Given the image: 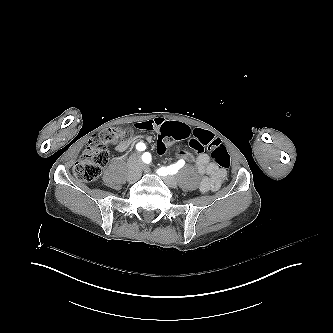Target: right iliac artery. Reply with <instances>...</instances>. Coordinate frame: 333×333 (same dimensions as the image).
Listing matches in <instances>:
<instances>
[{"label":"right iliac artery","instance_id":"1","mask_svg":"<svg viewBox=\"0 0 333 333\" xmlns=\"http://www.w3.org/2000/svg\"><path fill=\"white\" fill-rule=\"evenodd\" d=\"M136 149L139 150V151H143L146 149V146L144 143L140 142L136 145Z\"/></svg>","mask_w":333,"mask_h":333}]
</instances>
